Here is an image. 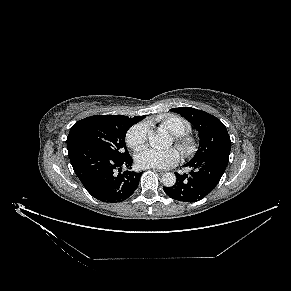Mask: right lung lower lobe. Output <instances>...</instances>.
Returning <instances> with one entry per match:
<instances>
[{"label": "right lung lower lobe", "mask_w": 291, "mask_h": 291, "mask_svg": "<svg viewBox=\"0 0 291 291\" xmlns=\"http://www.w3.org/2000/svg\"><path fill=\"white\" fill-rule=\"evenodd\" d=\"M74 172L85 189L96 199L106 203H118L130 197L138 187L142 172L124 171L130 167V155L119 158L96 147L77 143L68 148ZM116 170L119 171L116 174Z\"/></svg>", "instance_id": "98d812e1"}]
</instances>
